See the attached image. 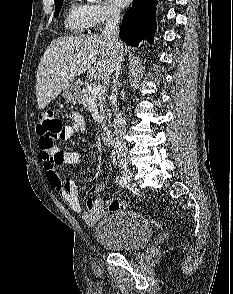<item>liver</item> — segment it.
I'll return each instance as SVG.
<instances>
[{
    "mask_svg": "<svg viewBox=\"0 0 233 294\" xmlns=\"http://www.w3.org/2000/svg\"><path fill=\"white\" fill-rule=\"evenodd\" d=\"M124 46L118 48L103 35L54 39L42 56L36 74V97L44 109L66 89L76 76L87 71L91 79L109 77Z\"/></svg>",
    "mask_w": 233,
    "mask_h": 294,
    "instance_id": "1",
    "label": "liver"
}]
</instances>
